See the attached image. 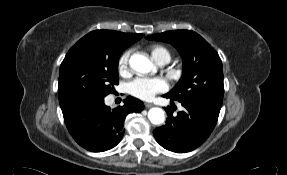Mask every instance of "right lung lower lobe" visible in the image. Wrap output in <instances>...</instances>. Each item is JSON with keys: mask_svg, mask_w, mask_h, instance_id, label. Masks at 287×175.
Masks as SVG:
<instances>
[{"mask_svg": "<svg viewBox=\"0 0 287 175\" xmlns=\"http://www.w3.org/2000/svg\"><path fill=\"white\" fill-rule=\"evenodd\" d=\"M66 127L74 140L86 150L103 152L115 147L124 134L127 114L141 112L144 104L134 97L110 109L104 99L84 101L61 107Z\"/></svg>", "mask_w": 287, "mask_h": 175, "instance_id": "right-lung-lower-lobe-1", "label": "right lung lower lobe"}]
</instances>
